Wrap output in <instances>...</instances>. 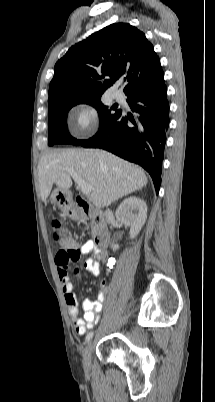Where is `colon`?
Segmentation results:
<instances>
[{"instance_id": "colon-1", "label": "colon", "mask_w": 215, "mask_h": 402, "mask_svg": "<svg viewBox=\"0 0 215 402\" xmlns=\"http://www.w3.org/2000/svg\"><path fill=\"white\" fill-rule=\"evenodd\" d=\"M52 226L55 229L53 233V237L56 241H59L61 239V248L63 250H60L57 255L56 259L59 262H71L73 263L74 261L78 260L79 258V253L75 251L78 248V243L77 239L75 238L74 235H63L62 237L60 236L59 232H57L56 229L59 227V223L57 220L52 221Z\"/></svg>"}]
</instances>
